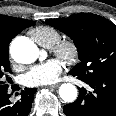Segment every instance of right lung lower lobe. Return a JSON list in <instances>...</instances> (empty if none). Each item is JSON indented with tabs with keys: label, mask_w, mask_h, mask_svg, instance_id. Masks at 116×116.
<instances>
[{
	"label": "right lung lower lobe",
	"mask_w": 116,
	"mask_h": 116,
	"mask_svg": "<svg viewBox=\"0 0 116 116\" xmlns=\"http://www.w3.org/2000/svg\"><path fill=\"white\" fill-rule=\"evenodd\" d=\"M35 92V88H25L21 91V99L15 103L9 100V93L0 95V116H28Z\"/></svg>",
	"instance_id": "right-lung-lower-lobe-1"
}]
</instances>
